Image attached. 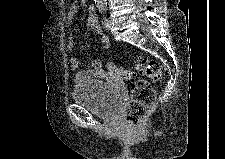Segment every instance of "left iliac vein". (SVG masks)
<instances>
[{"label": "left iliac vein", "mask_w": 225, "mask_h": 159, "mask_svg": "<svg viewBox=\"0 0 225 159\" xmlns=\"http://www.w3.org/2000/svg\"><path fill=\"white\" fill-rule=\"evenodd\" d=\"M112 23H113L112 18H109V20H108V25L106 26V28H107L108 30L111 28Z\"/></svg>", "instance_id": "obj_1"}]
</instances>
